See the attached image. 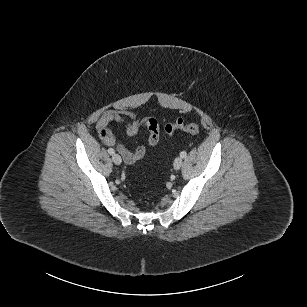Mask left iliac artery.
<instances>
[{
	"instance_id": "1",
	"label": "left iliac artery",
	"mask_w": 307,
	"mask_h": 307,
	"mask_svg": "<svg viewBox=\"0 0 307 307\" xmlns=\"http://www.w3.org/2000/svg\"><path fill=\"white\" fill-rule=\"evenodd\" d=\"M186 155H187V153H186L185 151H182V152L180 153V157H182V158H185Z\"/></svg>"
}]
</instances>
